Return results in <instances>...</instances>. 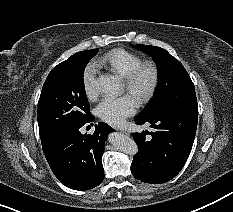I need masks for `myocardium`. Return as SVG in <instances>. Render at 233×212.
<instances>
[{"label":"myocardium","instance_id":"1","mask_svg":"<svg viewBox=\"0 0 233 212\" xmlns=\"http://www.w3.org/2000/svg\"><path fill=\"white\" fill-rule=\"evenodd\" d=\"M144 74H148L147 84L140 88V80ZM160 79L158 66L151 61H145L136 66L124 79V87L128 93L134 96L138 104L147 103L154 95Z\"/></svg>","mask_w":233,"mask_h":212}]
</instances>
